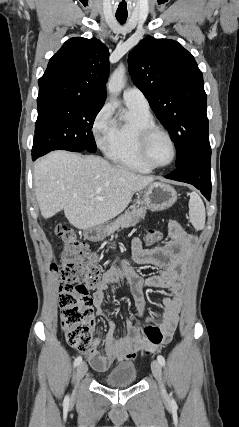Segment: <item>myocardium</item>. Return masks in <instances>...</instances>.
<instances>
[{
    "mask_svg": "<svg viewBox=\"0 0 239 427\" xmlns=\"http://www.w3.org/2000/svg\"><path fill=\"white\" fill-rule=\"evenodd\" d=\"M157 134L164 135L168 139V141L171 145V148H172L171 159L166 164H163V165H158V164H155L154 162H152L150 157H149V154H148L150 143H151L152 139L154 138V136ZM138 148H139V154H140L141 159L144 161L145 164H147L152 169H161V168L168 167L169 165H171L174 162V160L177 156V146H176V143H175L172 135L167 130H165L164 128H161V127L156 126V125L149 126V127L142 129V131L140 132V135H139Z\"/></svg>",
    "mask_w": 239,
    "mask_h": 427,
    "instance_id": "f54148a6",
    "label": "myocardium"
}]
</instances>
